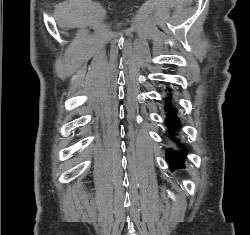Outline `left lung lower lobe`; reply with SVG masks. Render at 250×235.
<instances>
[{"label":"left lung lower lobe","instance_id":"1","mask_svg":"<svg viewBox=\"0 0 250 235\" xmlns=\"http://www.w3.org/2000/svg\"><path fill=\"white\" fill-rule=\"evenodd\" d=\"M171 93L168 94V98L171 99ZM169 114L168 118L166 120L168 125H171V128L169 129L170 137L173 139L174 131L178 128V119L176 117V109L169 103L168 104ZM184 155H182L180 152L174 150L173 148H169L167 150V160L170 164L171 169H177V168H183L185 167L184 163Z\"/></svg>","mask_w":250,"mask_h":235}]
</instances>
